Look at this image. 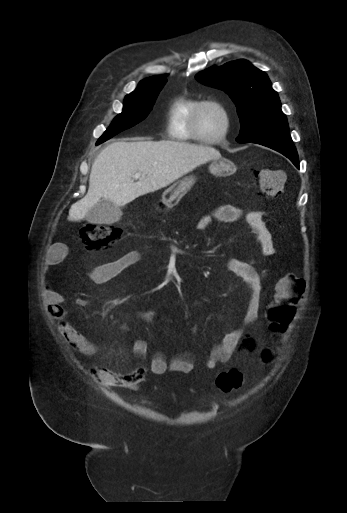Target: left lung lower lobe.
I'll use <instances>...</instances> for the list:
<instances>
[{"instance_id": "left-lung-lower-lobe-1", "label": "left lung lower lobe", "mask_w": 347, "mask_h": 513, "mask_svg": "<svg viewBox=\"0 0 347 513\" xmlns=\"http://www.w3.org/2000/svg\"><path fill=\"white\" fill-rule=\"evenodd\" d=\"M252 142L282 153L299 169L298 154L288 133L274 134Z\"/></svg>"}]
</instances>
